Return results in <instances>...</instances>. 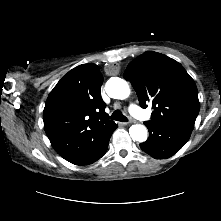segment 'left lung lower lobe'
I'll use <instances>...</instances> for the list:
<instances>
[{"label": "left lung lower lobe", "mask_w": 221, "mask_h": 221, "mask_svg": "<svg viewBox=\"0 0 221 221\" xmlns=\"http://www.w3.org/2000/svg\"><path fill=\"white\" fill-rule=\"evenodd\" d=\"M144 124L148 128L149 137L140 147L156 159L173 156L188 141L193 130L192 126L162 125L153 121Z\"/></svg>", "instance_id": "0a47b994"}]
</instances>
